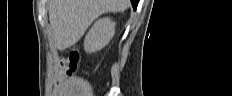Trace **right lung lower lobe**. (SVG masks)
Here are the masks:
<instances>
[{"mask_svg": "<svg viewBox=\"0 0 232 96\" xmlns=\"http://www.w3.org/2000/svg\"><path fill=\"white\" fill-rule=\"evenodd\" d=\"M133 6V9L136 10L139 0H130Z\"/></svg>", "mask_w": 232, "mask_h": 96, "instance_id": "right-lung-lower-lobe-1", "label": "right lung lower lobe"}]
</instances>
